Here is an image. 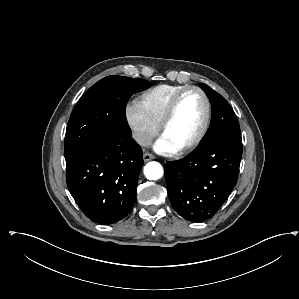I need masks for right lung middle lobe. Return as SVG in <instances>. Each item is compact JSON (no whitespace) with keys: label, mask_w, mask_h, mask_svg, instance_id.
<instances>
[{"label":"right lung middle lobe","mask_w":299,"mask_h":299,"mask_svg":"<svg viewBox=\"0 0 299 299\" xmlns=\"http://www.w3.org/2000/svg\"><path fill=\"white\" fill-rule=\"evenodd\" d=\"M150 86L149 81L123 76H108L94 84L70 116L65 135L66 162L102 140L130 136L126 104L132 94Z\"/></svg>","instance_id":"right-lung-middle-lobe-1"}]
</instances>
